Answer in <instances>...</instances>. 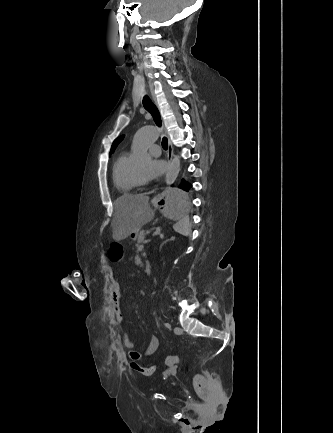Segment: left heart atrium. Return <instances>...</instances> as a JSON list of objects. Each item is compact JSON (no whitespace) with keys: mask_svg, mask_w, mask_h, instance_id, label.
Wrapping results in <instances>:
<instances>
[{"mask_svg":"<svg viewBox=\"0 0 333 433\" xmlns=\"http://www.w3.org/2000/svg\"><path fill=\"white\" fill-rule=\"evenodd\" d=\"M166 170V164L159 158H153L144 170V180L149 181L161 176Z\"/></svg>","mask_w":333,"mask_h":433,"instance_id":"left-heart-atrium-1","label":"left heart atrium"}]
</instances>
